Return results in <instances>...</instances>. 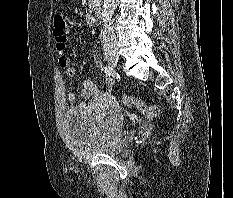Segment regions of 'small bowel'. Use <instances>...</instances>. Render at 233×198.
I'll return each instance as SVG.
<instances>
[{"label":"small bowel","mask_w":233,"mask_h":198,"mask_svg":"<svg viewBox=\"0 0 233 198\" xmlns=\"http://www.w3.org/2000/svg\"><path fill=\"white\" fill-rule=\"evenodd\" d=\"M67 38H55V48L57 51V60L61 68H63L68 77H74L76 74L75 68L72 66L71 59L65 53ZM93 63L95 67L104 71V64L99 56H94ZM105 73V72H104ZM106 75V74H105ZM81 101L73 106V110L80 112H92L107 104L114 102L112 94L113 80L106 76L101 88H98L91 80L82 82ZM68 101L72 102L76 99L74 92H68L66 95Z\"/></svg>","instance_id":"small-bowel-1"}]
</instances>
